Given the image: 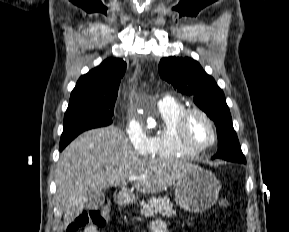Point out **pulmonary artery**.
<instances>
[{"instance_id":"pulmonary-artery-1","label":"pulmonary artery","mask_w":289,"mask_h":232,"mask_svg":"<svg viewBox=\"0 0 289 232\" xmlns=\"http://www.w3.org/2000/svg\"><path fill=\"white\" fill-rule=\"evenodd\" d=\"M169 99H171V98H170V97H164V98H162V99L158 102V105L167 102Z\"/></svg>"}]
</instances>
